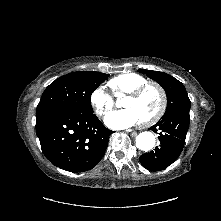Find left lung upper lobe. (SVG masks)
Returning <instances> with one entry per match:
<instances>
[{"label": "left lung upper lobe", "mask_w": 221, "mask_h": 221, "mask_svg": "<svg viewBox=\"0 0 221 221\" xmlns=\"http://www.w3.org/2000/svg\"><path fill=\"white\" fill-rule=\"evenodd\" d=\"M138 71L146 73L149 78L158 82L165 90L167 95V108L163 116L179 110L190 111L191 102L184 85L179 80L164 72L144 69Z\"/></svg>", "instance_id": "left-lung-upper-lobe-1"}]
</instances>
